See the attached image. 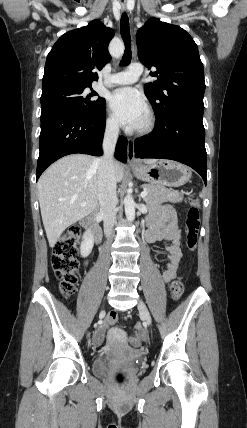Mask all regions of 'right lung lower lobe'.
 Here are the masks:
<instances>
[{"label": "right lung lower lobe", "instance_id": "obj_1", "mask_svg": "<svg viewBox=\"0 0 247 428\" xmlns=\"http://www.w3.org/2000/svg\"><path fill=\"white\" fill-rule=\"evenodd\" d=\"M105 130V107L95 116H82L57 111L41 115L40 154L36 179L54 161L73 154L102 155L101 143ZM115 157L126 162L127 140L119 137Z\"/></svg>", "mask_w": 247, "mask_h": 428}]
</instances>
